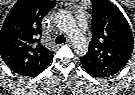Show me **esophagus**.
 Here are the masks:
<instances>
[{"mask_svg":"<svg viewBox=\"0 0 135 95\" xmlns=\"http://www.w3.org/2000/svg\"><path fill=\"white\" fill-rule=\"evenodd\" d=\"M66 43H67V44H69V43H70V41H69V40H67V41H66Z\"/></svg>","mask_w":135,"mask_h":95,"instance_id":"obj_1","label":"esophagus"}]
</instances>
